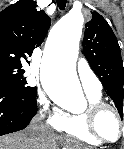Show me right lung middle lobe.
I'll list each match as a JSON object with an SVG mask.
<instances>
[{"label":"right lung middle lobe","instance_id":"right-lung-middle-lobe-1","mask_svg":"<svg viewBox=\"0 0 124 149\" xmlns=\"http://www.w3.org/2000/svg\"><path fill=\"white\" fill-rule=\"evenodd\" d=\"M20 69L10 67H0V82L7 83L18 91L25 92L30 95L37 94L36 87L26 86V78L22 77Z\"/></svg>","mask_w":124,"mask_h":149}]
</instances>
